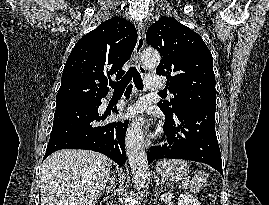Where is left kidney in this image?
<instances>
[{
	"label": "left kidney",
	"mask_w": 269,
	"mask_h": 205,
	"mask_svg": "<svg viewBox=\"0 0 269 205\" xmlns=\"http://www.w3.org/2000/svg\"><path fill=\"white\" fill-rule=\"evenodd\" d=\"M174 196L169 193L161 195V200L164 202H170ZM178 205H200L199 201L191 195L180 194L178 198Z\"/></svg>",
	"instance_id": "left-kidney-1"
}]
</instances>
